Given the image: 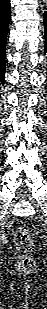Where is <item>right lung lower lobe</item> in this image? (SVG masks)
I'll use <instances>...</instances> for the list:
<instances>
[{"label": "right lung lower lobe", "mask_w": 47, "mask_h": 309, "mask_svg": "<svg viewBox=\"0 0 47 309\" xmlns=\"http://www.w3.org/2000/svg\"><path fill=\"white\" fill-rule=\"evenodd\" d=\"M10 0H0V81L5 79V44L10 20Z\"/></svg>", "instance_id": "right-lung-lower-lobe-1"}]
</instances>
